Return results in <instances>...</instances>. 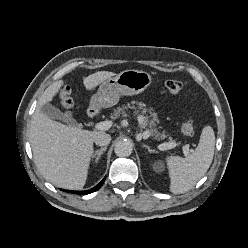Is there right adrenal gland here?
I'll return each mask as SVG.
<instances>
[{
	"label": "right adrenal gland",
	"instance_id": "1",
	"mask_svg": "<svg viewBox=\"0 0 248 248\" xmlns=\"http://www.w3.org/2000/svg\"><path fill=\"white\" fill-rule=\"evenodd\" d=\"M107 147L101 148L100 150H97L94 152L93 154V158H95V163L98 162L99 158L101 157V155L106 151Z\"/></svg>",
	"mask_w": 248,
	"mask_h": 248
}]
</instances>
